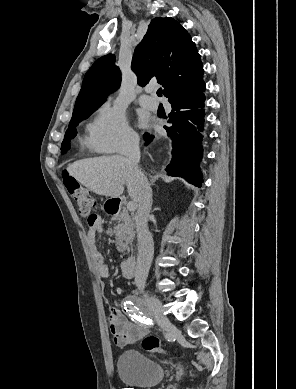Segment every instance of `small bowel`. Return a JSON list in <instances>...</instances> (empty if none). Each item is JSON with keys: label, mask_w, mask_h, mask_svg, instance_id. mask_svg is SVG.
I'll return each instance as SVG.
<instances>
[{"label": "small bowel", "mask_w": 296, "mask_h": 389, "mask_svg": "<svg viewBox=\"0 0 296 389\" xmlns=\"http://www.w3.org/2000/svg\"><path fill=\"white\" fill-rule=\"evenodd\" d=\"M89 230L87 234L88 243L97 265L98 272L102 278L109 276L107 265L104 263L102 255L97 249L95 238L102 231V220L99 215H93L92 221H88ZM109 326L117 345L134 344L147 334V327L140 323L130 322L124 312L117 308H112L109 317Z\"/></svg>", "instance_id": "1"}]
</instances>
